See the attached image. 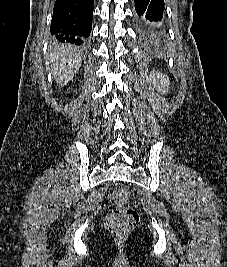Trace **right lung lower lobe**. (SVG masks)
<instances>
[{
  "instance_id": "1",
  "label": "right lung lower lobe",
  "mask_w": 227,
  "mask_h": 267,
  "mask_svg": "<svg viewBox=\"0 0 227 267\" xmlns=\"http://www.w3.org/2000/svg\"><path fill=\"white\" fill-rule=\"evenodd\" d=\"M93 0H56L50 32L61 42L81 45L92 29Z\"/></svg>"
}]
</instances>
